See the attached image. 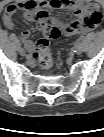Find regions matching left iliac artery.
<instances>
[{
    "label": "left iliac artery",
    "instance_id": "1",
    "mask_svg": "<svg viewBox=\"0 0 104 137\" xmlns=\"http://www.w3.org/2000/svg\"><path fill=\"white\" fill-rule=\"evenodd\" d=\"M77 42H82V39L81 38H76L75 40H74V43L76 44Z\"/></svg>",
    "mask_w": 104,
    "mask_h": 137
}]
</instances>
